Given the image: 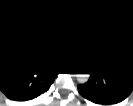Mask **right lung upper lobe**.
I'll list each match as a JSON object with an SVG mask.
<instances>
[{
  "label": "right lung upper lobe",
  "instance_id": "right-lung-upper-lobe-1",
  "mask_svg": "<svg viewBox=\"0 0 133 106\" xmlns=\"http://www.w3.org/2000/svg\"><path fill=\"white\" fill-rule=\"evenodd\" d=\"M59 67L37 40H23L0 54V90L11 100L28 101L46 92Z\"/></svg>",
  "mask_w": 133,
  "mask_h": 106
}]
</instances>
